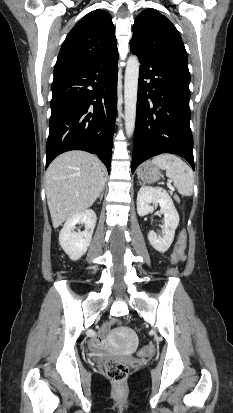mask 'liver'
I'll return each mask as SVG.
<instances>
[{"label":"liver","mask_w":233,"mask_h":413,"mask_svg":"<svg viewBox=\"0 0 233 413\" xmlns=\"http://www.w3.org/2000/svg\"><path fill=\"white\" fill-rule=\"evenodd\" d=\"M105 171L96 156L84 151H69L52 161L45 184L54 228L93 205L104 189Z\"/></svg>","instance_id":"obj_1"}]
</instances>
